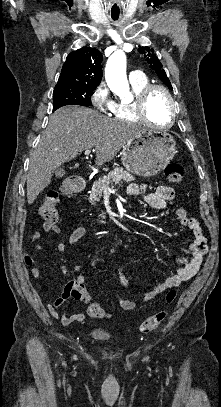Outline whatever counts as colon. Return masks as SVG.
I'll list each match as a JSON object with an SVG mask.
<instances>
[{
	"mask_svg": "<svg viewBox=\"0 0 221 407\" xmlns=\"http://www.w3.org/2000/svg\"><path fill=\"white\" fill-rule=\"evenodd\" d=\"M165 177L172 183H179L183 179V167L178 162H169L164 169ZM58 199L59 195L54 191H47L44 194V200L40 208V215L43 219V226L46 232L57 233L59 230L58 220ZM72 294L81 302L87 304V313L91 317L106 318L108 313L101 308L100 305L91 301V298L81 282H74L70 286ZM176 292L174 289H169L166 293V303L172 304L175 300ZM167 310H161L148 317L139 326V332L148 334L159 327L167 318Z\"/></svg>",
	"mask_w": 221,
	"mask_h": 407,
	"instance_id": "1",
	"label": "colon"
}]
</instances>
